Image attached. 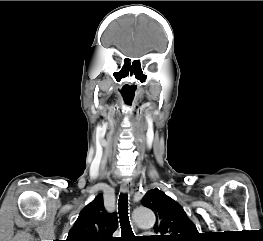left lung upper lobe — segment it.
<instances>
[{
	"instance_id": "left-lung-upper-lobe-1",
	"label": "left lung upper lobe",
	"mask_w": 263,
	"mask_h": 241,
	"mask_svg": "<svg viewBox=\"0 0 263 241\" xmlns=\"http://www.w3.org/2000/svg\"><path fill=\"white\" fill-rule=\"evenodd\" d=\"M145 207L156 214L153 241H198L199 232L184 209L159 189L148 191L142 199Z\"/></svg>"
}]
</instances>
